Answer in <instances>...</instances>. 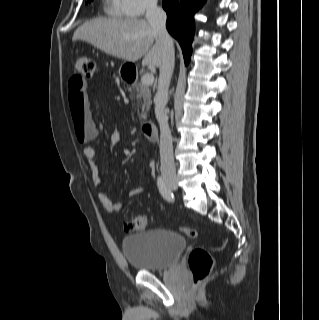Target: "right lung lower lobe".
I'll return each instance as SVG.
<instances>
[{
    "instance_id": "1",
    "label": "right lung lower lobe",
    "mask_w": 319,
    "mask_h": 320,
    "mask_svg": "<svg viewBox=\"0 0 319 320\" xmlns=\"http://www.w3.org/2000/svg\"><path fill=\"white\" fill-rule=\"evenodd\" d=\"M206 0H163L162 5L167 13L166 27L182 48L185 64L190 60L192 41L195 31L194 13L203 6Z\"/></svg>"
}]
</instances>
